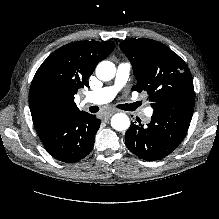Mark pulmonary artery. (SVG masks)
Wrapping results in <instances>:
<instances>
[{
  "label": "pulmonary artery",
  "instance_id": "e3ab8cb5",
  "mask_svg": "<svg viewBox=\"0 0 219 219\" xmlns=\"http://www.w3.org/2000/svg\"><path fill=\"white\" fill-rule=\"evenodd\" d=\"M131 72V65L128 62L120 63L116 69L115 84L94 90L86 95V101L93 104H104L111 101L116 92L127 82ZM152 113V108H145L143 116L145 119Z\"/></svg>",
  "mask_w": 219,
  "mask_h": 219
}]
</instances>
